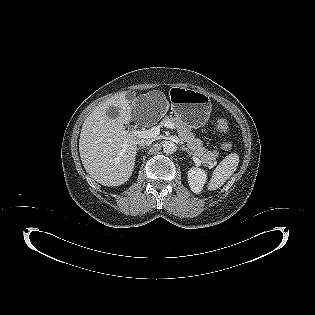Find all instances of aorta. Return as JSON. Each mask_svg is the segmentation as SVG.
Here are the masks:
<instances>
[{
  "label": "aorta",
  "instance_id": "762f6f07",
  "mask_svg": "<svg viewBox=\"0 0 315 315\" xmlns=\"http://www.w3.org/2000/svg\"><path fill=\"white\" fill-rule=\"evenodd\" d=\"M163 151L170 154L174 153L176 151L175 143L171 141H165L163 144Z\"/></svg>",
  "mask_w": 315,
  "mask_h": 315
}]
</instances>
